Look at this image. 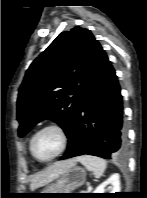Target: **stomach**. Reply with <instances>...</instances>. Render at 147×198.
I'll list each match as a JSON object with an SVG mask.
<instances>
[{"mask_svg":"<svg viewBox=\"0 0 147 198\" xmlns=\"http://www.w3.org/2000/svg\"><path fill=\"white\" fill-rule=\"evenodd\" d=\"M86 180V172L80 167H72L50 183L40 193H72L82 186ZM55 197V196H47Z\"/></svg>","mask_w":147,"mask_h":198,"instance_id":"1","label":"stomach"}]
</instances>
